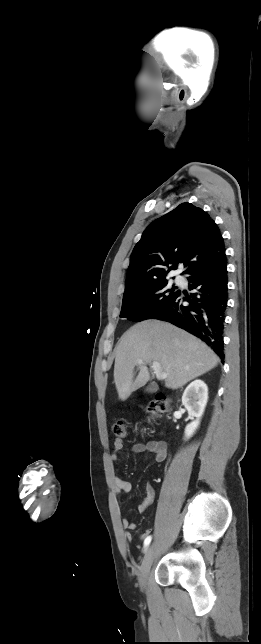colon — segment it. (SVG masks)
Listing matches in <instances>:
<instances>
[{"label":"colon","mask_w":261,"mask_h":644,"mask_svg":"<svg viewBox=\"0 0 261 644\" xmlns=\"http://www.w3.org/2000/svg\"><path fill=\"white\" fill-rule=\"evenodd\" d=\"M170 405V399L164 394H158L156 399L150 403L147 408V412L151 417H156L161 413L168 410ZM114 435L118 439H123L127 436V424L124 421H117L113 425Z\"/></svg>","instance_id":"colon-1"}]
</instances>
